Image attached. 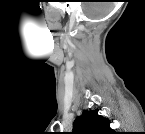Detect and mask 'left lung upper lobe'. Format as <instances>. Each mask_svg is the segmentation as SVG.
Here are the masks:
<instances>
[{"label": "left lung upper lobe", "mask_w": 145, "mask_h": 134, "mask_svg": "<svg viewBox=\"0 0 145 134\" xmlns=\"http://www.w3.org/2000/svg\"><path fill=\"white\" fill-rule=\"evenodd\" d=\"M73 134H114L110 120L98 114L97 110H85L73 123Z\"/></svg>", "instance_id": "left-lung-upper-lobe-1"}]
</instances>
